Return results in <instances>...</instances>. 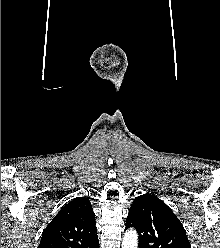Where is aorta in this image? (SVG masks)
Wrapping results in <instances>:
<instances>
[{"mask_svg":"<svg viewBox=\"0 0 220 248\" xmlns=\"http://www.w3.org/2000/svg\"><path fill=\"white\" fill-rule=\"evenodd\" d=\"M138 235L133 229L127 230L124 234L122 241V248H137Z\"/></svg>","mask_w":220,"mask_h":248,"instance_id":"aorta-1","label":"aorta"}]
</instances>
